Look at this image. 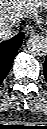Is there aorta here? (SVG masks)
Instances as JSON below:
<instances>
[{
    "instance_id": "1",
    "label": "aorta",
    "mask_w": 47,
    "mask_h": 129,
    "mask_svg": "<svg viewBox=\"0 0 47 129\" xmlns=\"http://www.w3.org/2000/svg\"><path fill=\"white\" fill-rule=\"evenodd\" d=\"M28 50L35 56L47 55V40L45 37L35 35L28 40Z\"/></svg>"
}]
</instances>
